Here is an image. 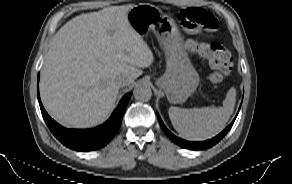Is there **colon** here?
Instances as JSON below:
<instances>
[{
	"label": "colon",
	"instance_id": "1",
	"mask_svg": "<svg viewBox=\"0 0 292 184\" xmlns=\"http://www.w3.org/2000/svg\"><path fill=\"white\" fill-rule=\"evenodd\" d=\"M180 23L191 32L200 28L216 29L218 22L214 15L202 8H190L182 10L179 14ZM188 47L208 61L213 71L209 74V80L213 84L223 81L232 65L230 52L219 43H206L190 41Z\"/></svg>",
	"mask_w": 292,
	"mask_h": 184
}]
</instances>
